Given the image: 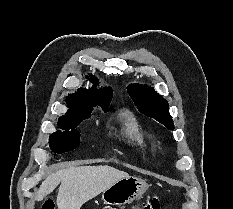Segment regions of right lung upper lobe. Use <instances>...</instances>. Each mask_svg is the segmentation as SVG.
Returning <instances> with one entry per match:
<instances>
[{
  "mask_svg": "<svg viewBox=\"0 0 233 209\" xmlns=\"http://www.w3.org/2000/svg\"><path fill=\"white\" fill-rule=\"evenodd\" d=\"M91 79L93 82L98 81L93 76ZM112 95L113 90L110 87L99 90H95L94 87L89 90L80 88L77 93L66 97L67 105L70 107L67 113L91 112L92 106L97 104L102 107L103 111H107Z\"/></svg>",
  "mask_w": 233,
  "mask_h": 209,
  "instance_id": "right-lung-upper-lobe-1",
  "label": "right lung upper lobe"
}]
</instances>
